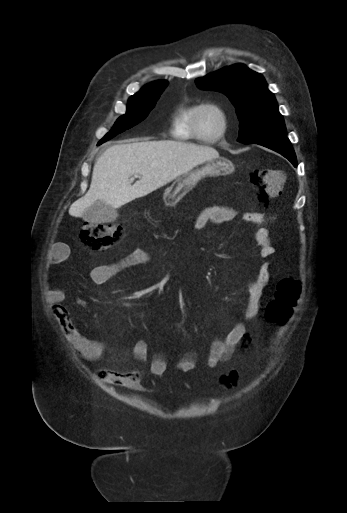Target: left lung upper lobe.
Instances as JSON below:
<instances>
[{"mask_svg": "<svg viewBox=\"0 0 347 513\" xmlns=\"http://www.w3.org/2000/svg\"><path fill=\"white\" fill-rule=\"evenodd\" d=\"M196 84L229 97L240 121L238 141L250 144L286 136L274 94L259 73L237 64L197 79Z\"/></svg>", "mask_w": 347, "mask_h": 513, "instance_id": "obj_1", "label": "left lung upper lobe"}]
</instances>
